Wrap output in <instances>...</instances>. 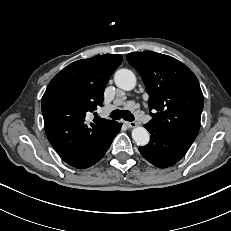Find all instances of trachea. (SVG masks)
<instances>
[{
    "label": "trachea",
    "instance_id": "obj_1",
    "mask_svg": "<svg viewBox=\"0 0 231 231\" xmlns=\"http://www.w3.org/2000/svg\"><path fill=\"white\" fill-rule=\"evenodd\" d=\"M110 117L115 120L123 118L126 121H134V115L128 110H114L111 112Z\"/></svg>",
    "mask_w": 231,
    "mask_h": 231
}]
</instances>
